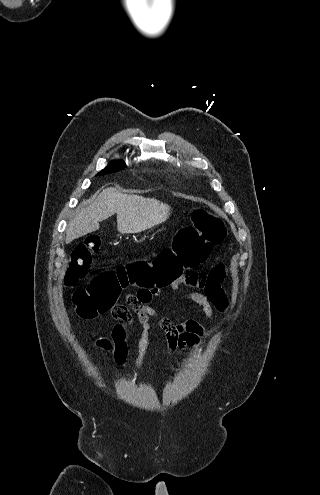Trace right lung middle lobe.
Returning a JSON list of instances; mask_svg holds the SVG:
<instances>
[{"label": "right lung middle lobe", "mask_w": 320, "mask_h": 495, "mask_svg": "<svg viewBox=\"0 0 320 495\" xmlns=\"http://www.w3.org/2000/svg\"><path fill=\"white\" fill-rule=\"evenodd\" d=\"M124 167H125V163L123 161H113L106 168H104L101 172H99L98 174H106V173L115 172V171H118Z\"/></svg>", "instance_id": "1"}]
</instances>
